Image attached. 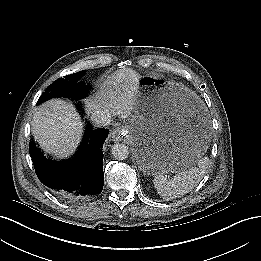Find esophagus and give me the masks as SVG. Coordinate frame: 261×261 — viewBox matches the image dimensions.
I'll return each instance as SVG.
<instances>
[{"mask_svg": "<svg viewBox=\"0 0 261 261\" xmlns=\"http://www.w3.org/2000/svg\"><path fill=\"white\" fill-rule=\"evenodd\" d=\"M122 131L121 130H119V129H117V130H114L113 132H112V136H113V138H115V137H117V136H121L123 133H121Z\"/></svg>", "mask_w": 261, "mask_h": 261, "instance_id": "34e87169", "label": "esophagus"}]
</instances>
